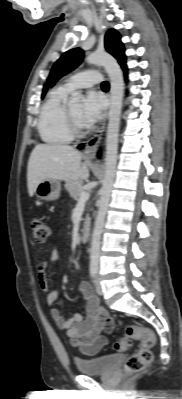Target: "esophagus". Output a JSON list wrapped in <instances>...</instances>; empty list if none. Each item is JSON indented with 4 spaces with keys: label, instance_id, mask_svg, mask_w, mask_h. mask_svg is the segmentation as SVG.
<instances>
[{
    "label": "esophagus",
    "instance_id": "obj_1",
    "mask_svg": "<svg viewBox=\"0 0 182 399\" xmlns=\"http://www.w3.org/2000/svg\"><path fill=\"white\" fill-rule=\"evenodd\" d=\"M106 120H107V113L105 114V118L101 126L97 129L95 134L86 143V148L84 150L85 158H93L95 156V153L104 135Z\"/></svg>",
    "mask_w": 182,
    "mask_h": 399
}]
</instances>
